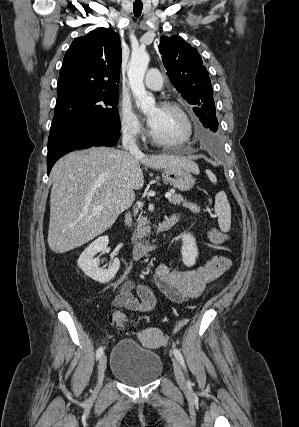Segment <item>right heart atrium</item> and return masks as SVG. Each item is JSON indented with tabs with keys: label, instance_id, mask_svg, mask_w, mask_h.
I'll list each match as a JSON object with an SVG mask.
<instances>
[{
	"label": "right heart atrium",
	"instance_id": "right-heart-atrium-1",
	"mask_svg": "<svg viewBox=\"0 0 299 427\" xmlns=\"http://www.w3.org/2000/svg\"><path fill=\"white\" fill-rule=\"evenodd\" d=\"M121 132L130 139H138L144 134V128L133 111L130 103L122 99L118 105Z\"/></svg>",
	"mask_w": 299,
	"mask_h": 427
}]
</instances>
